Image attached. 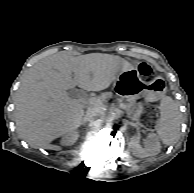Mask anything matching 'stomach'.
<instances>
[{
    "label": "stomach",
    "instance_id": "obj_1",
    "mask_svg": "<svg viewBox=\"0 0 194 193\" xmlns=\"http://www.w3.org/2000/svg\"><path fill=\"white\" fill-rule=\"evenodd\" d=\"M114 86L126 97L145 96L151 101L162 99L167 91L166 82L162 77L158 76L150 82H145L134 68L120 72Z\"/></svg>",
    "mask_w": 194,
    "mask_h": 193
}]
</instances>
